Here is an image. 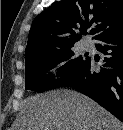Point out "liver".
<instances>
[{
    "instance_id": "liver-1",
    "label": "liver",
    "mask_w": 123,
    "mask_h": 130,
    "mask_svg": "<svg viewBox=\"0 0 123 130\" xmlns=\"http://www.w3.org/2000/svg\"><path fill=\"white\" fill-rule=\"evenodd\" d=\"M112 114L87 96L53 90L21 102L12 130H122Z\"/></svg>"
}]
</instances>
